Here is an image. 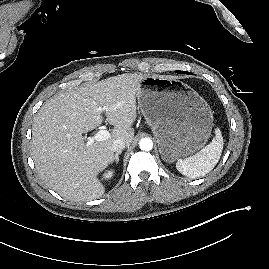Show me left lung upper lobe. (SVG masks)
<instances>
[{
  "instance_id": "left-lung-upper-lobe-1",
  "label": "left lung upper lobe",
  "mask_w": 269,
  "mask_h": 269,
  "mask_svg": "<svg viewBox=\"0 0 269 269\" xmlns=\"http://www.w3.org/2000/svg\"><path fill=\"white\" fill-rule=\"evenodd\" d=\"M176 73H182V74H189L190 72H186V71H176Z\"/></svg>"
}]
</instances>
